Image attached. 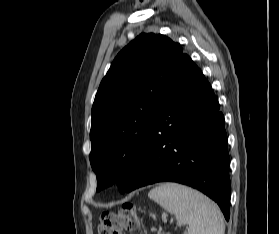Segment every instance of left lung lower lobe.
<instances>
[{"label": "left lung lower lobe", "instance_id": "obj_1", "mask_svg": "<svg viewBox=\"0 0 279 234\" xmlns=\"http://www.w3.org/2000/svg\"><path fill=\"white\" fill-rule=\"evenodd\" d=\"M201 70L183 53L166 84L126 192L160 181L196 188L229 220L230 158L224 116Z\"/></svg>", "mask_w": 279, "mask_h": 234}]
</instances>
